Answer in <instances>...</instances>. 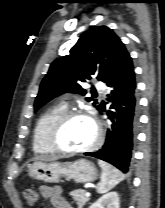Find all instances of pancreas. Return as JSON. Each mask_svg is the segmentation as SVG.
Instances as JSON below:
<instances>
[{
	"instance_id": "cf45deb5",
	"label": "pancreas",
	"mask_w": 165,
	"mask_h": 208,
	"mask_svg": "<svg viewBox=\"0 0 165 208\" xmlns=\"http://www.w3.org/2000/svg\"><path fill=\"white\" fill-rule=\"evenodd\" d=\"M85 193L86 191L83 189H77L70 193L74 201L77 202L78 208H82L86 204V202L89 200V197H86Z\"/></svg>"
}]
</instances>
